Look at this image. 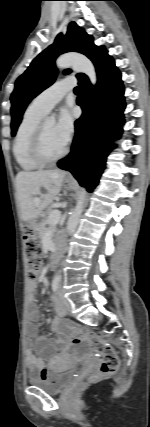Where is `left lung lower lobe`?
I'll return each instance as SVG.
<instances>
[{
  "instance_id": "0a47b994",
  "label": "left lung lower lobe",
  "mask_w": 150,
  "mask_h": 427,
  "mask_svg": "<svg viewBox=\"0 0 150 427\" xmlns=\"http://www.w3.org/2000/svg\"><path fill=\"white\" fill-rule=\"evenodd\" d=\"M98 82L93 87L87 76L79 79L77 104L83 110L75 122L70 154L57 165L70 171L82 186L92 191L105 168L106 157L114 148L124 124V87L114 60L106 53L96 64Z\"/></svg>"
}]
</instances>
